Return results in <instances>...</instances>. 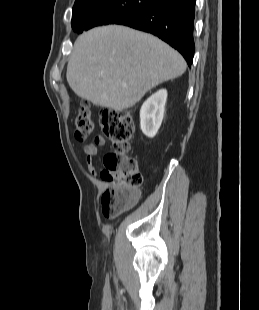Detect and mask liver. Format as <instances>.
I'll use <instances>...</instances> for the list:
<instances>
[{"mask_svg":"<svg viewBox=\"0 0 259 310\" xmlns=\"http://www.w3.org/2000/svg\"><path fill=\"white\" fill-rule=\"evenodd\" d=\"M185 70L183 57L157 37L109 25L77 38L66 77L77 96L93 105L121 111Z\"/></svg>","mask_w":259,"mask_h":310,"instance_id":"1","label":"liver"}]
</instances>
